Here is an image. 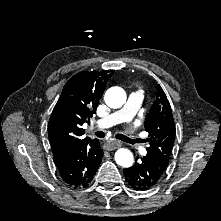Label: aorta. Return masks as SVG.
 Instances as JSON below:
<instances>
[{"label":"aorta","instance_id":"aorta-1","mask_svg":"<svg viewBox=\"0 0 221 221\" xmlns=\"http://www.w3.org/2000/svg\"><path fill=\"white\" fill-rule=\"evenodd\" d=\"M104 100L110 108H120L126 102V93L120 87H111L105 93ZM115 160L118 165L128 168L133 164V154L128 149L120 148L115 153Z\"/></svg>","mask_w":221,"mask_h":221}]
</instances>
